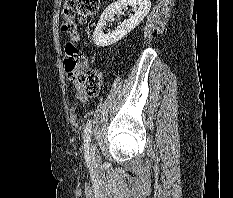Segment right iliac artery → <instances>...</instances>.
<instances>
[{
    "mask_svg": "<svg viewBox=\"0 0 233 198\" xmlns=\"http://www.w3.org/2000/svg\"><path fill=\"white\" fill-rule=\"evenodd\" d=\"M90 133H91V121L87 123L86 128L84 130V142H85V148H86L85 155L88 158H89V149H90V140H91Z\"/></svg>",
    "mask_w": 233,
    "mask_h": 198,
    "instance_id": "obj_1",
    "label": "right iliac artery"
}]
</instances>
